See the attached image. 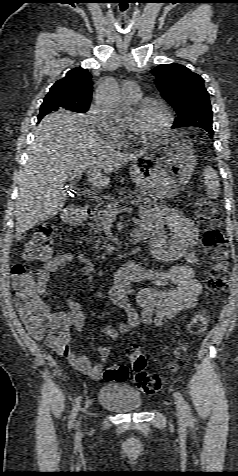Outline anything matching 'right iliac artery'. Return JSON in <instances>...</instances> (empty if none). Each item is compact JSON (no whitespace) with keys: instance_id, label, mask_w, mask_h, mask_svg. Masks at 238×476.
I'll return each mask as SVG.
<instances>
[{"instance_id":"82829eb1","label":"right iliac artery","mask_w":238,"mask_h":476,"mask_svg":"<svg viewBox=\"0 0 238 476\" xmlns=\"http://www.w3.org/2000/svg\"><path fill=\"white\" fill-rule=\"evenodd\" d=\"M79 408H80V397H78L77 401H76V404L74 405L73 409H72V412H71V415H70V419H69V428L72 427L73 423H74V420L77 416V413L79 411Z\"/></svg>"}]
</instances>
